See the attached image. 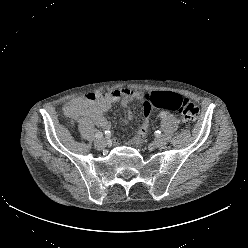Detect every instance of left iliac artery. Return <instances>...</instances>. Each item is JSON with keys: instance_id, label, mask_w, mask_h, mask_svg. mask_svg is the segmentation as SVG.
Listing matches in <instances>:
<instances>
[{"instance_id": "left-iliac-artery-1", "label": "left iliac artery", "mask_w": 248, "mask_h": 248, "mask_svg": "<svg viewBox=\"0 0 248 248\" xmlns=\"http://www.w3.org/2000/svg\"><path fill=\"white\" fill-rule=\"evenodd\" d=\"M165 116H166L165 112H161V113H160V117H162V118H163V117H165ZM156 132H157L158 134H160V133H161L160 131H156Z\"/></svg>"}]
</instances>
